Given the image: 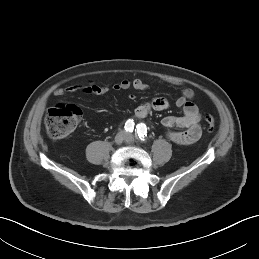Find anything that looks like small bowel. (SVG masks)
I'll return each instance as SVG.
<instances>
[{"instance_id":"1","label":"small bowel","mask_w":259,"mask_h":259,"mask_svg":"<svg viewBox=\"0 0 259 259\" xmlns=\"http://www.w3.org/2000/svg\"><path fill=\"white\" fill-rule=\"evenodd\" d=\"M164 80L172 85L182 87L180 96L177 98L175 104L183 111L181 116H166L162 119V124L169 129L166 137L176 145L193 144L200 139L202 134L200 126L201 114L197 105L193 102L195 92L192 88L185 87L182 80L172 78H166ZM131 88L138 91H145L148 89V85L141 79L125 78L112 87L116 92ZM78 92L87 95L102 96L109 92V88L94 82H88L86 84H75L65 88H58L55 90V95L61 97ZM169 107L170 102L166 98L157 97L138 105L134 113L136 118H144L151 112L167 110Z\"/></svg>"}]
</instances>
